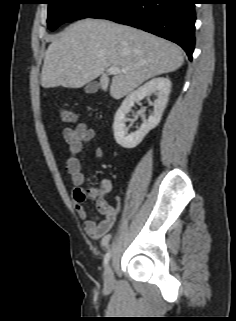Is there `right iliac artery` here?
Returning a JSON list of instances; mask_svg holds the SVG:
<instances>
[{"label": "right iliac artery", "instance_id": "obj_1", "mask_svg": "<svg viewBox=\"0 0 236 321\" xmlns=\"http://www.w3.org/2000/svg\"><path fill=\"white\" fill-rule=\"evenodd\" d=\"M110 255H111V252L110 250L106 253L105 257H104V266H107L108 262H109V259H110Z\"/></svg>", "mask_w": 236, "mask_h": 321}]
</instances>
